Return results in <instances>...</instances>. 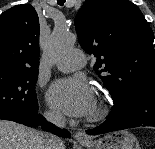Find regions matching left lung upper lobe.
Masks as SVG:
<instances>
[{
    "mask_svg": "<svg viewBox=\"0 0 155 149\" xmlns=\"http://www.w3.org/2000/svg\"><path fill=\"white\" fill-rule=\"evenodd\" d=\"M81 47L97 57L94 70L114 99L155 84L154 34L128 0H86L75 18Z\"/></svg>",
    "mask_w": 155,
    "mask_h": 149,
    "instance_id": "left-lung-upper-lobe-1",
    "label": "left lung upper lobe"
}]
</instances>
